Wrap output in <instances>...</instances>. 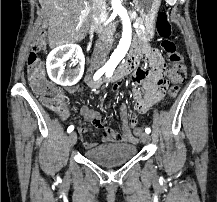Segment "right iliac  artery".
I'll return each instance as SVG.
<instances>
[{
  "instance_id": "1",
  "label": "right iliac artery",
  "mask_w": 217,
  "mask_h": 202,
  "mask_svg": "<svg viewBox=\"0 0 217 202\" xmlns=\"http://www.w3.org/2000/svg\"><path fill=\"white\" fill-rule=\"evenodd\" d=\"M104 70H98L95 74H94V77H93V79L94 80H98L103 74H104ZM74 130V126L73 125H70L69 127H68V129H67V132L68 133H70V132H72Z\"/></svg>"
}]
</instances>
